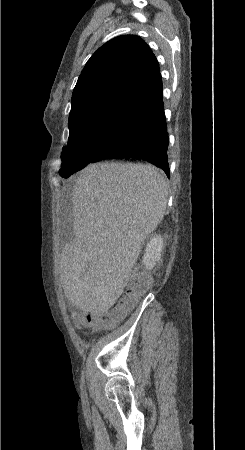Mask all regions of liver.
I'll use <instances>...</instances> for the list:
<instances>
[{"label":"liver","mask_w":245,"mask_h":450,"mask_svg":"<svg viewBox=\"0 0 245 450\" xmlns=\"http://www.w3.org/2000/svg\"><path fill=\"white\" fill-rule=\"evenodd\" d=\"M167 201V182L150 164L88 165L73 188L75 239L59 262L66 298L92 314L109 310L164 217Z\"/></svg>","instance_id":"obj_1"}]
</instances>
